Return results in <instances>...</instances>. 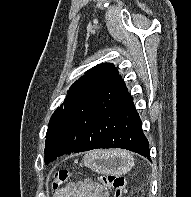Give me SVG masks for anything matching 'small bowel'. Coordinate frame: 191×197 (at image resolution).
<instances>
[{
	"mask_svg": "<svg viewBox=\"0 0 191 197\" xmlns=\"http://www.w3.org/2000/svg\"><path fill=\"white\" fill-rule=\"evenodd\" d=\"M53 197H108V191L98 183H69L57 190Z\"/></svg>",
	"mask_w": 191,
	"mask_h": 197,
	"instance_id": "1",
	"label": "small bowel"
}]
</instances>
